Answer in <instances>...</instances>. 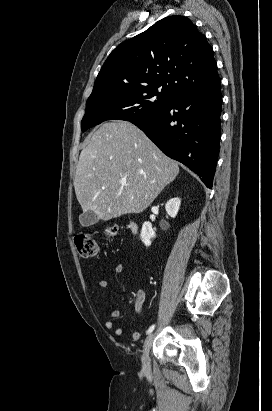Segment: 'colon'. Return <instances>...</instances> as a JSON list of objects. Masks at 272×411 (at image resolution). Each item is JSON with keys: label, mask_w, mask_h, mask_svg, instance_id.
<instances>
[{"label": "colon", "mask_w": 272, "mask_h": 411, "mask_svg": "<svg viewBox=\"0 0 272 411\" xmlns=\"http://www.w3.org/2000/svg\"><path fill=\"white\" fill-rule=\"evenodd\" d=\"M117 232V227L110 226L104 230L107 237H113ZM75 246L81 257L90 258L97 255L98 246L97 242L92 235L80 234L74 238ZM138 298L135 300L137 301Z\"/></svg>", "instance_id": "obj_1"}]
</instances>
